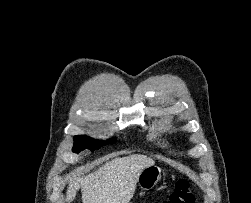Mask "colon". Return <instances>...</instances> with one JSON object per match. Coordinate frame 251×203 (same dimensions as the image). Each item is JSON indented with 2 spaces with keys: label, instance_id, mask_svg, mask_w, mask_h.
<instances>
[{
  "label": "colon",
  "instance_id": "obj_1",
  "mask_svg": "<svg viewBox=\"0 0 251 203\" xmlns=\"http://www.w3.org/2000/svg\"><path fill=\"white\" fill-rule=\"evenodd\" d=\"M194 196L186 180H179L173 192L162 203H193Z\"/></svg>",
  "mask_w": 251,
  "mask_h": 203
}]
</instances>
